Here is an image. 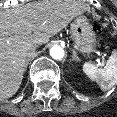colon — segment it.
<instances>
[{"label": "colon", "mask_w": 117, "mask_h": 117, "mask_svg": "<svg viewBox=\"0 0 117 117\" xmlns=\"http://www.w3.org/2000/svg\"><path fill=\"white\" fill-rule=\"evenodd\" d=\"M96 32L99 33L100 32V28L99 27H96Z\"/></svg>", "instance_id": "obj_1"}]
</instances>
